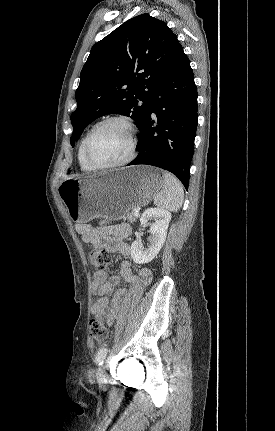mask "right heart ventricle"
Wrapping results in <instances>:
<instances>
[{
  "label": "right heart ventricle",
  "mask_w": 275,
  "mask_h": 431,
  "mask_svg": "<svg viewBox=\"0 0 275 431\" xmlns=\"http://www.w3.org/2000/svg\"><path fill=\"white\" fill-rule=\"evenodd\" d=\"M85 136L83 137V139H82V141L80 142V145H79V149H78V162H79L80 168L83 171H91L93 169L87 165V163L85 162L84 157H83L82 147H83V142H84Z\"/></svg>",
  "instance_id": "right-heart-ventricle-1"
}]
</instances>
